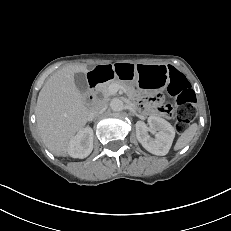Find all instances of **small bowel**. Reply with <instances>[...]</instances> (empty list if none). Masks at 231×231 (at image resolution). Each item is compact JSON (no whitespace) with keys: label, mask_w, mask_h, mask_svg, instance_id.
Returning <instances> with one entry per match:
<instances>
[{"label":"small bowel","mask_w":231,"mask_h":231,"mask_svg":"<svg viewBox=\"0 0 231 231\" xmlns=\"http://www.w3.org/2000/svg\"><path fill=\"white\" fill-rule=\"evenodd\" d=\"M150 110H151V111H157V110H155V109H153V108H150Z\"/></svg>","instance_id":"1"}]
</instances>
